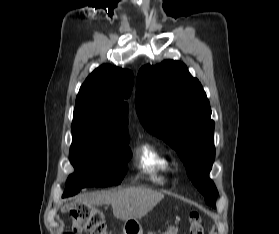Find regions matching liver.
I'll use <instances>...</instances> for the list:
<instances>
[{
    "label": "liver",
    "mask_w": 279,
    "mask_h": 234,
    "mask_svg": "<svg viewBox=\"0 0 279 234\" xmlns=\"http://www.w3.org/2000/svg\"><path fill=\"white\" fill-rule=\"evenodd\" d=\"M164 195L142 187H130L119 191L93 193L83 196L86 204H110L113 215L120 220L140 219L152 210Z\"/></svg>",
    "instance_id": "obj_1"
}]
</instances>
